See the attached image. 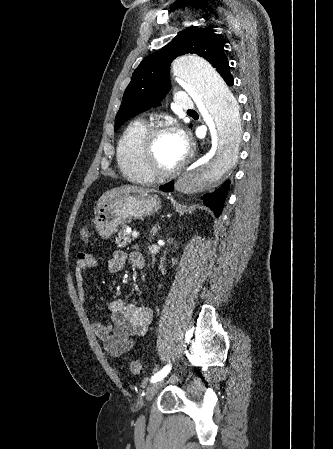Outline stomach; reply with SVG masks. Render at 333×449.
I'll return each instance as SVG.
<instances>
[{"label": "stomach", "instance_id": "0dacf381", "mask_svg": "<svg viewBox=\"0 0 333 449\" xmlns=\"http://www.w3.org/2000/svg\"><path fill=\"white\" fill-rule=\"evenodd\" d=\"M161 208L156 194L123 195L105 202L96 212L95 228L108 238L132 219H143Z\"/></svg>", "mask_w": 333, "mask_h": 449}]
</instances>
